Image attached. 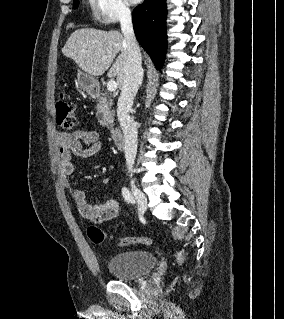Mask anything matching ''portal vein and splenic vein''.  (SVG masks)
<instances>
[{
  "label": "portal vein and splenic vein",
  "mask_w": 284,
  "mask_h": 319,
  "mask_svg": "<svg viewBox=\"0 0 284 319\" xmlns=\"http://www.w3.org/2000/svg\"><path fill=\"white\" fill-rule=\"evenodd\" d=\"M116 89H117V83L113 80H110L107 83V90L113 92V91H116Z\"/></svg>",
  "instance_id": "portal-vein-and-splenic-vein-1"
}]
</instances>
